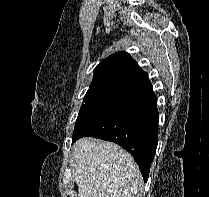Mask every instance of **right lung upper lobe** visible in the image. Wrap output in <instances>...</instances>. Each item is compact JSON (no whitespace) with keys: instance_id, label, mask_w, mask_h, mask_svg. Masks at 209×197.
Wrapping results in <instances>:
<instances>
[{"instance_id":"1","label":"right lung upper lobe","mask_w":209,"mask_h":197,"mask_svg":"<svg viewBox=\"0 0 209 197\" xmlns=\"http://www.w3.org/2000/svg\"><path fill=\"white\" fill-rule=\"evenodd\" d=\"M92 83H114L144 92L152 85L131 55L125 51L117 52L101 61L94 69Z\"/></svg>"}]
</instances>
